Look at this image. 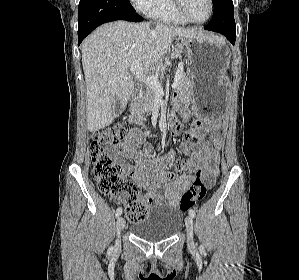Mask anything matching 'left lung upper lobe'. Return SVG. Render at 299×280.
I'll return each instance as SVG.
<instances>
[{
    "label": "left lung upper lobe",
    "mask_w": 299,
    "mask_h": 280,
    "mask_svg": "<svg viewBox=\"0 0 299 280\" xmlns=\"http://www.w3.org/2000/svg\"><path fill=\"white\" fill-rule=\"evenodd\" d=\"M215 1H217V0H212V2H215Z\"/></svg>",
    "instance_id": "5c2ea615"
}]
</instances>
